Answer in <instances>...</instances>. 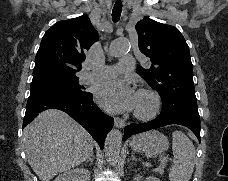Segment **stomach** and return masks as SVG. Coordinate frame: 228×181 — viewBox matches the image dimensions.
<instances>
[{"instance_id":"1","label":"stomach","mask_w":228,"mask_h":181,"mask_svg":"<svg viewBox=\"0 0 228 181\" xmlns=\"http://www.w3.org/2000/svg\"><path fill=\"white\" fill-rule=\"evenodd\" d=\"M168 139L159 131H148L134 137L131 147L134 151H143L146 157H158L168 149Z\"/></svg>"}]
</instances>
